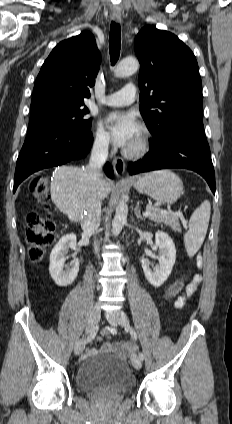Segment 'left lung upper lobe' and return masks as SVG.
<instances>
[{
	"instance_id": "obj_1",
	"label": "left lung upper lobe",
	"mask_w": 232,
	"mask_h": 424,
	"mask_svg": "<svg viewBox=\"0 0 232 424\" xmlns=\"http://www.w3.org/2000/svg\"><path fill=\"white\" fill-rule=\"evenodd\" d=\"M140 112L153 137L173 120L203 113L202 83L192 51L174 34L145 26L135 38Z\"/></svg>"
}]
</instances>
